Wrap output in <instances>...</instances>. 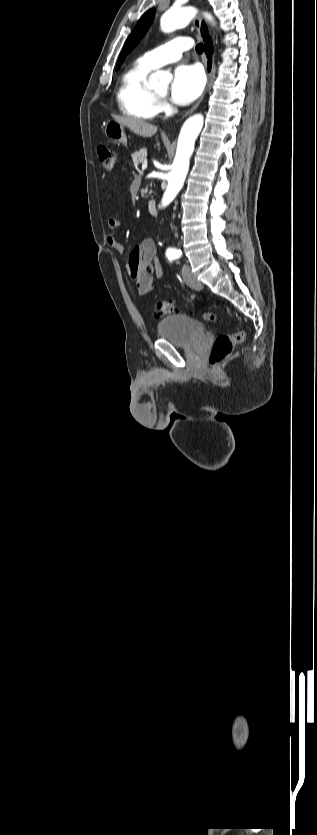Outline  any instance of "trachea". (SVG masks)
<instances>
[{
	"instance_id": "1",
	"label": "trachea",
	"mask_w": 317,
	"mask_h": 835,
	"mask_svg": "<svg viewBox=\"0 0 317 835\" xmlns=\"http://www.w3.org/2000/svg\"><path fill=\"white\" fill-rule=\"evenodd\" d=\"M203 50H204V46H203L202 43H199V44L196 45V52L197 53L201 54L203 52Z\"/></svg>"
}]
</instances>
